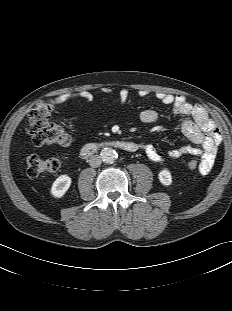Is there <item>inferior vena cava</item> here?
Returning a JSON list of instances; mask_svg holds the SVG:
<instances>
[{"label": "inferior vena cava", "mask_w": 232, "mask_h": 311, "mask_svg": "<svg viewBox=\"0 0 232 311\" xmlns=\"http://www.w3.org/2000/svg\"><path fill=\"white\" fill-rule=\"evenodd\" d=\"M102 163V158L99 155H93L89 159V165L93 168L99 167Z\"/></svg>", "instance_id": "602c4592"}]
</instances>
